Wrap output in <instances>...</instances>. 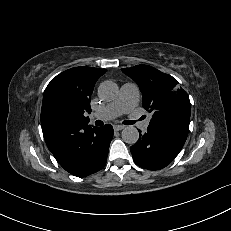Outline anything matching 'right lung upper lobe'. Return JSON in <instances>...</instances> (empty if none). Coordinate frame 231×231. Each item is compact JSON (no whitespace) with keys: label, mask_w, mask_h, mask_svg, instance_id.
Returning <instances> with one entry per match:
<instances>
[{"label":"right lung upper lobe","mask_w":231,"mask_h":231,"mask_svg":"<svg viewBox=\"0 0 231 231\" xmlns=\"http://www.w3.org/2000/svg\"><path fill=\"white\" fill-rule=\"evenodd\" d=\"M107 70L75 67L68 69L48 84L44 91L41 125L49 150L69 144L74 130L88 125L90 96L98 78Z\"/></svg>","instance_id":"cb5924a9"}]
</instances>
